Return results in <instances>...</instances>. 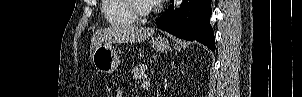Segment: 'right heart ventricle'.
<instances>
[{
	"label": "right heart ventricle",
	"mask_w": 302,
	"mask_h": 97,
	"mask_svg": "<svg viewBox=\"0 0 302 97\" xmlns=\"http://www.w3.org/2000/svg\"><path fill=\"white\" fill-rule=\"evenodd\" d=\"M128 0H104L102 14L105 20L113 26H132L138 21L129 10Z\"/></svg>",
	"instance_id": "obj_1"
}]
</instances>
